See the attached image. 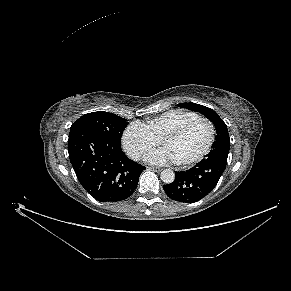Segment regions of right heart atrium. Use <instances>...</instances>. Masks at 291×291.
I'll return each instance as SVG.
<instances>
[{"mask_svg": "<svg viewBox=\"0 0 291 291\" xmlns=\"http://www.w3.org/2000/svg\"><path fill=\"white\" fill-rule=\"evenodd\" d=\"M158 139L150 129L139 122L130 124L123 133V146L129 156L140 160L151 149L159 145Z\"/></svg>", "mask_w": 291, "mask_h": 291, "instance_id": "obj_1", "label": "right heart atrium"}]
</instances>
